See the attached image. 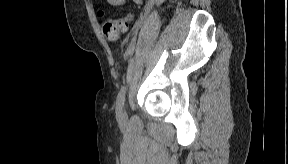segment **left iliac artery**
Masks as SVG:
<instances>
[{
  "instance_id": "left-iliac-artery-1",
  "label": "left iliac artery",
  "mask_w": 288,
  "mask_h": 164,
  "mask_svg": "<svg viewBox=\"0 0 288 164\" xmlns=\"http://www.w3.org/2000/svg\"><path fill=\"white\" fill-rule=\"evenodd\" d=\"M125 94H126V86H122L116 99V106L118 109H122L124 107L125 102Z\"/></svg>"
}]
</instances>
